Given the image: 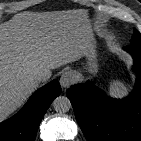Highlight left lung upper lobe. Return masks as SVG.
<instances>
[{
	"instance_id": "5c2ea615",
	"label": "left lung upper lobe",
	"mask_w": 141,
	"mask_h": 141,
	"mask_svg": "<svg viewBox=\"0 0 141 141\" xmlns=\"http://www.w3.org/2000/svg\"><path fill=\"white\" fill-rule=\"evenodd\" d=\"M130 42H131V44H133V43L141 44V34L138 30L134 29V33L132 35V39Z\"/></svg>"
}]
</instances>
